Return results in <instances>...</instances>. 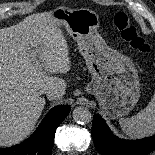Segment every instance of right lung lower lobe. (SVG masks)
Masks as SVG:
<instances>
[{"mask_svg":"<svg viewBox=\"0 0 155 155\" xmlns=\"http://www.w3.org/2000/svg\"><path fill=\"white\" fill-rule=\"evenodd\" d=\"M70 107L62 105L52 108L42 120L37 130L22 143L0 148V155H50L56 128L68 115Z\"/></svg>","mask_w":155,"mask_h":155,"instance_id":"obj_1","label":"right lung lower lobe"}]
</instances>
